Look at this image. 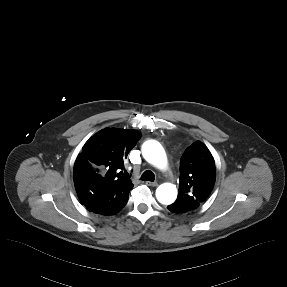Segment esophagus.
<instances>
[{
    "label": "esophagus",
    "instance_id": "1",
    "mask_svg": "<svg viewBox=\"0 0 287 287\" xmlns=\"http://www.w3.org/2000/svg\"><path fill=\"white\" fill-rule=\"evenodd\" d=\"M146 185L151 186V187H156V186H158V183L157 182L147 181Z\"/></svg>",
    "mask_w": 287,
    "mask_h": 287
}]
</instances>
